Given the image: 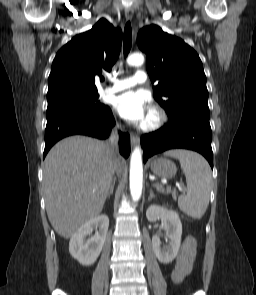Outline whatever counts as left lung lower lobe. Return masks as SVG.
<instances>
[{
	"mask_svg": "<svg viewBox=\"0 0 256 295\" xmlns=\"http://www.w3.org/2000/svg\"><path fill=\"white\" fill-rule=\"evenodd\" d=\"M143 160L169 149H190L202 154L213 168L211 127L209 119L183 115L159 130L141 137Z\"/></svg>",
	"mask_w": 256,
	"mask_h": 295,
	"instance_id": "0a47b994",
	"label": "left lung lower lobe"
}]
</instances>
